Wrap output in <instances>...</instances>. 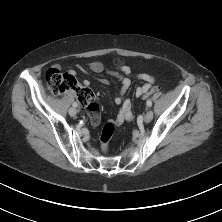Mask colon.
<instances>
[{
	"label": "colon",
	"mask_w": 222,
	"mask_h": 222,
	"mask_svg": "<svg viewBox=\"0 0 222 222\" xmlns=\"http://www.w3.org/2000/svg\"><path fill=\"white\" fill-rule=\"evenodd\" d=\"M116 62L119 63V61ZM45 78H46L47 88L50 91V93L58 95L67 90L75 89L80 103H82L86 107L87 111L90 114L97 113L98 104L94 94L90 90L78 86L77 81L73 75L69 73H63L56 67H51L47 70ZM158 90L162 91V88L160 86H154L153 88L146 91V93L143 95V98L144 99L149 98V96H151L153 93H155ZM114 131L115 127L110 122L106 123L103 126L100 135V140L104 151L107 150L108 143L112 138Z\"/></svg>",
	"instance_id": "1"
}]
</instances>
